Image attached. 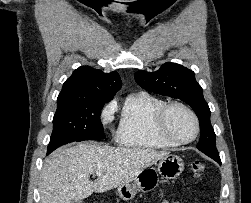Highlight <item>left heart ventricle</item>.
Instances as JSON below:
<instances>
[{
  "mask_svg": "<svg viewBox=\"0 0 251 203\" xmlns=\"http://www.w3.org/2000/svg\"><path fill=\"white\" fill-rule=\"evenodd\" d=\"M168 133L176 139L190 138L195 129L194 121L190 114L180 107L170 110L166 120Z\"/></svg>",
  "mask_w": 251,
  "mask_h": 203,
  "instance_id": "obj_1",
  "label": "left heart ventricle"
}]
</instances>
